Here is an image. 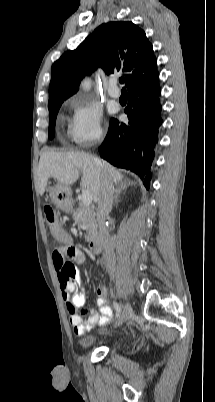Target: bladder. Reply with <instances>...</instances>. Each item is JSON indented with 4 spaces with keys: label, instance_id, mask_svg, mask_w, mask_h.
<instances>
[{
    "label": "bladder",
    "instance_id": "31cf9c89",
    "mask_svg": "<svg viewBox=\"0 0 215 402\" xmlns=\"http://www.w3.org/2000/svg\"><path fill=\"white\" fill-rule=\"evenodd\" d=\"M96 343H97V340L92 335L84 336L79 340V345L82 348H91V347L95 346ZM119 346H120V342L118 340H112L109 343V347H111V348H118Z\"/></svg>",
    "mask_w": 215,
    "mask_h": 402
}]
</instances>
